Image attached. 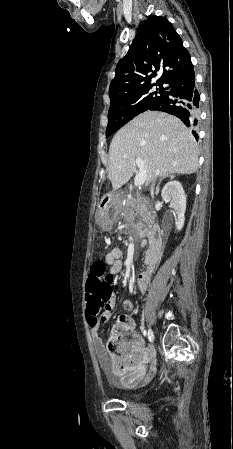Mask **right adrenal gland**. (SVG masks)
Segmentation results:
<instances>
[{"label":"right adrenal gland","instance_id":"2a0ac1e0","mask_svg":"<svg viewBox=\"0 0 233 449\" xmlns=\"http://www.w3.org/2000/svg\"><path fill=\"white\" fill-rule=\"evenodd\" d=\"M170 177V179H173L174 177H175V175L174 174H172V175H170L169 176ZM165 177H163V178H161L160 180H159V182H158V184H157V187H156V195H158L159 194V191H160V183H161V181L164 179Z\"/></svg>","mask_w":233,"mask_h":449}]
</instances>
